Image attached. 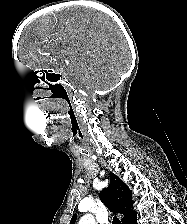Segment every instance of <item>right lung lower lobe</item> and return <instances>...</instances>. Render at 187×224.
Segmentation results:
<instances>
[{
	"label": "right lung lower lobe",
	"mask_w": 187,
	"mask_h": 224,
	"mask_svg": "<svg viewBox=\"0 0 187 224\" xmlns=\"http://www.w3.org/2000/svg\"><path fill=\"white\" fill-rule=\"evenodd\" d=\"M130 224H137V218H135Z\"/></svg>",
	"instance_id": "right-lung-lower-lobe-1"
}]
</instances>
